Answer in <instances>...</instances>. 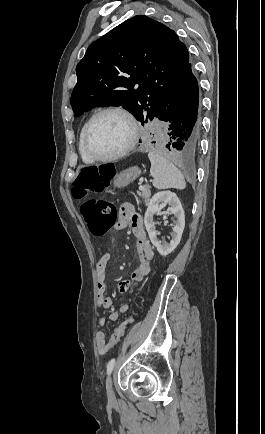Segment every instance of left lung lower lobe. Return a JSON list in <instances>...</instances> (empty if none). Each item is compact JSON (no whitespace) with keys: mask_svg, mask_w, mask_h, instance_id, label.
<instances>
[{"mask_svg":"<svg viewBox=\"0 0 265 434\" xmlns=\"http://www.w3.org/2000/svg\"><path fill=\"white\" fill-rule=\"evenodd\" d=\"M154 118L168 124L166 148L191 155L198 149L201 134L199 88L189 60L181 74L161 99ZM155 143V142H153ZM163 151V146L156 148Z\"/></svg>","mask_w":265,"mask_h":434,"instance_id":"obj_1","label":"left lung lower lobe"}]
</instances>
